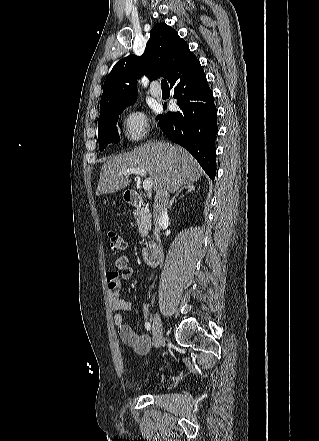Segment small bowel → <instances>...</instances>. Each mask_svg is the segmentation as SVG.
Returning a JSON list of instances; mask_svg holds the SVG:
<instances>
[{
    "label": "small bowel",
    "mask_w": 319,
    "mask_h": 441,
    "mask_svg": "<svg viewBox=\"0 0 319 441\" xmlns=\"http://www.w3.org/2000/svg\"><path fill=\"white\" fill-rule=\"evenodd\" d=\"M117 271H108L106 273V282L108 288L109 305L115 313L113 320L118 330L121 341L132 347L138 354L144 355L151 348V339L147 334H138L133 328L124 323L120 311H127L131 304L120 296V286L123 280H128L133 274V268L126 256H121L116 260ZM149 313V304L144 307V316Z\"/></svg>",
    "instance_id": "1"
}]
</instances>
